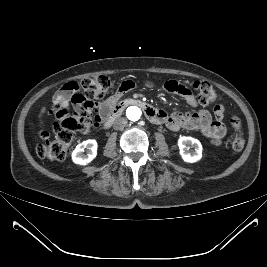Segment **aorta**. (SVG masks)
<instances>
[{
  "label": "aorta",
  "instance_id": "762f6f07",
  "mask_svg": "<svg viewBox=\"0 0 267 267\" xmlns=\"http://www.w3.org/2000/svg\"><path fill=\"white\" fill-rule=\"evenodd\" d=\"M141 109L137 106H130L126 110V116L130 121H138L141 118Z\"/></svg>",
  "mask_w": 267,
  "mask_h": 267
}]
</instances>
